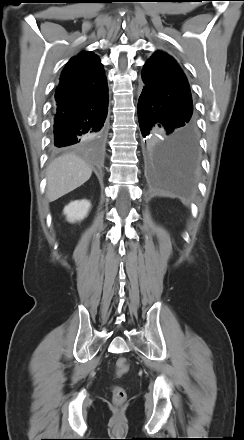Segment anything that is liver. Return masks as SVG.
I'll use <instances>...</instances> for the list:
<instances>
[{"label": "liver", "mask_w": 244, "mask_h": 440, "mask_svg": "<svg viewBox=\"0 0 244 440\" xmlns=\"http://www.w3.org/2000/svg\"><path fill=\"white\" fill-rule=\"evenodd\" d=\"M92 169L73 153L59 156L47 168L46 196L49 202L68 194L91 177Z\"/></svg>", "instance_id": "obj_1"}]
</instances>
